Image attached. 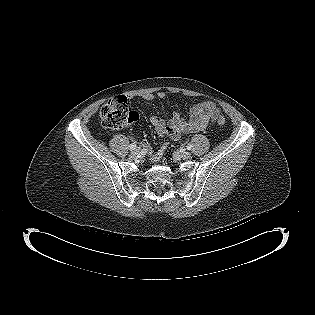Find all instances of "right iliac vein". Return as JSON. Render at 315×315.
<instances>
[{"label":"right iliac vein","instance_id":"1","mask_svg":"<svg viewBox=\"0 0 315 315\" xmlns=\"http://www.w3.org/2000/svg\"><path fill=\"white\" fill-rule=\"evenodd\" d=\"M139 153H140V149L137 148V149H135V150L132 151L131 156H132L133 158H135Z\"/></svg>","mask_w":315,"mask_h":315}]
</instances>
